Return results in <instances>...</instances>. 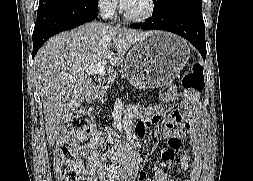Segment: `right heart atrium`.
I'll use <instances>...</instances> for the list:
<instances>
[{"instance_id": "d8ad5b80", "label": "right heart atrium", "mask_w": 253, "mask_h": 181, "mask_svg": "<svg viewBox=\"0 0 253 181\" xmlns=\"http://www.w3.org/2000/svg\"><path fill=\"white\" fill-rule=\"evenodd\" d=\"M99 11L108 18H112L117 14L118 6L116 0H97Z\"/></svg>"}]
</instances>
